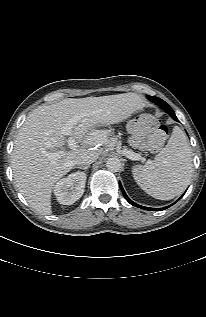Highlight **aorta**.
I'll return each instance as SVG.
<instances>
[{
    "instance_id": "1",
    "label": "aorta",
    "mask_w": 206,
    "mask_h": 317,
    "mask_svg": "<svg viewBox=\"0 0 206 317\" xmlns=\"http://www.w3.org/2000/svg\"><path fill=\"white\" fill-rule=\"evenodd\" d=\"M106 167L109 171L118 172L122 168V163L117 157H110L106 161Z\"/></svg>"
}]
</instances>
